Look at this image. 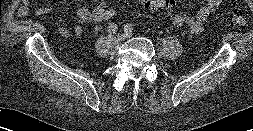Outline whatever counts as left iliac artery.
I'll return each mask as SVG.
<instances>
[{
  "label": "left iliac artery",
  "mask_w": 253,
  "mask_h": 131,
  "mask_svg": "<svg viewBox=\"0 0 253 131\" xmlns=\"http://www.w3.org/2000/svg\"><path fill=\"white\" fill-rule=\"evenodd\" d=\"M132 30H133V27H132L131 24H126V25L124 26V32H125V33H131Z\"/></svg>",
  "instance_id": "44dca946"
}]
</instances>
